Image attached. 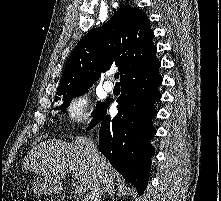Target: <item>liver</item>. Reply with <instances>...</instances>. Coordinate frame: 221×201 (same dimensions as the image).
I'll use <instances>...</instances> for the list:
<instances>
[{"instance_id":"6515ba94","label":"liver","mask_w":221,"mask_h":201,"mask_svg":"<svg viewBox=\"0 0 221 201\" xmlns=\"http://www.w3.org/2000/svg\"><path fill=\"white\" fill-rule=\"evenodd\" d=\"M95 162L96 164L93 162L90 140L79 137L72 142L61 140L41 142L27 154L23 166L56 187L66 174L71 172L84 190L88 191L96 171L100 173V181L103 186H114L116 173L98 150Z\"/></svg>"}]
</instances>
